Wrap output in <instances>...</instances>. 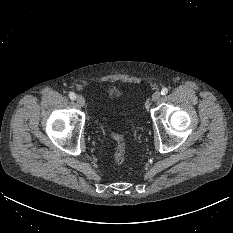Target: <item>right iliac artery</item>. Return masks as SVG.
I'll use <instances>...</instances> for the list:
<instances>
[{
    "mask_svg": "<svg viewBox=\"0 0 233 233\" xmlns=\"http://www.w3.org/2000/svg\"><path fill=\"white\" fill-rule=\"evenodd\" d=\"M69 97H70L71 100H75L76 95H75V93L70 92V93H69Z\"/></svg>",
    "mask_w": 233,
    "mask_h": 233,
    "instance_id": "right-iliac-artery-1",
    "label": "right iliac artery"
}]
</instances>
